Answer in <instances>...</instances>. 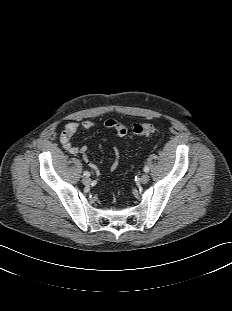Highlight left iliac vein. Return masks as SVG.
Segmentation results:
<instances>
[{"label": "left iliac vein", "instance_id": "obj_1", "mask_svg": "<svg viewBox=\"0 0 232 311\" xmlns=\"http://www.w3.org/2000/svg\"><path fill=\"white\" fill-rule=\"evenodd\" d=\"M149 181V175L148 174H143L140 178V182L145 184Z\"/></svg>", "mask_w": 232, "mask_h": 311}]
</instances>
